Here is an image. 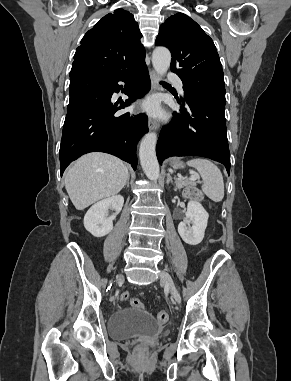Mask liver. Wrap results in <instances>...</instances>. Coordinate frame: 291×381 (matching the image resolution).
Here are the masks:
<instances>
[{
	"label": "liver",
	"instance_id": "liver-1",
	"mask_svg": "<svg viewBox=\"0 0 291 381\" xmlns=\"http://www.w3.org/2000/svg\"><path fill=\"white\" fill-rule=\"evenodd\" d=\"M128 168L106 153L83 155L65 175L67 193L77 210L119 193L128 179Z\"/></svg>",
	"mask_w": 291,
	"mask_h": 381
}]
</instances>
